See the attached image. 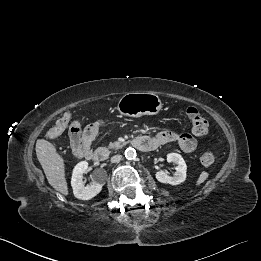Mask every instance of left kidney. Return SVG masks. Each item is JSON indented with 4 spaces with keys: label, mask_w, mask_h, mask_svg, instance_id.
Wrapping results in <instances>:
<instances>
[{
    "label": "left kidney",
    "mask_w": 261,
    "mask_h": 261,
    "mask_svg": "<svg viewBox=\"0 0 261 261\" xmlns=\"http://www.w3.org/2000/svg\"><path fill=\"white\" fill-rule=\"evenodd\" d=\"M167 161L175 163L176 172L174 176H169L165 171H157L155 174L156 179L165 184L178 185L185 181L187 165L183 157L178 153H169L167 154Z\"/></svg>",
    "instance_id": "obj_1"
}]
</instances>
